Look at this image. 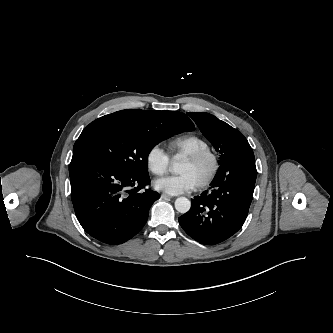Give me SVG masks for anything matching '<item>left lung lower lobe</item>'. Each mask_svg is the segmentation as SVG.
I'll list each match as a JSON object with an SVG mask.
<instances>
[{
  "label": "left lung lower lobe",
  "instance_id": "0a47b994",
  "mask_svg": "<svg viewBox=\"0 0 333 333\" xmlns=\"http://www.w3.org/2000/svg\"><path fill=\"white\" fill-rule=\"evenodd\" d=\"M256 177L252 148L238 150L221 164L210 189L192 199L190 210L179 217V224L202 244L227 240L246 220Z\"/></svg>",
  "mask_w": 333,
  "mask_h": 333
}]
</instances>
